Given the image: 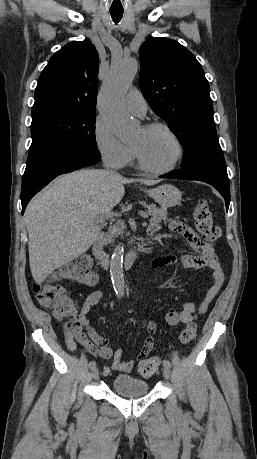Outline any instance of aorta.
I'll return each mask as SVG.
<instances>
[{"instance_id": "762f6f07", "label": "aorta", "mask_w": 257, "mask_h": 459, "mask_svg": "<svg viewBox=\"0 0 257 459\" xmlns=\"http://www.w3.org/2000/svg\"><path fill=\"white\" fill-rule=\"evenodd\" d=\"M138 71V62L135 59L122 60L112 66L100 91V113L103 121L122 142H129L135 138L137 122L122 108V102ZM124 247H115L111 262L110 274L114 291L117 296L125 294L123 273Z\"/></svg>"}]
</instances>
